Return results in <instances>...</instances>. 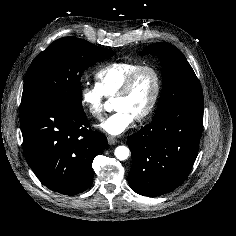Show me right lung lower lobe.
<instances>
[{
  "label": "right lung lower lobe",
  "instance_id": "98d812e1",
  "mask_svg": "<svg viewBox=\"0 0 236 236\" xmlns=\"http://www.w3.org/2000/svg\"><path fill=\"white\" fill-rule=\"evenodd\" d=\"M20 126L28 165L49 189L66 195L85 191L93 181L92 162L106 137L88 128L82 108L37 101L21 106Z\"/></svg>",
  "mask_w": 236,
  "mask_h": 236
}]
</instances>
